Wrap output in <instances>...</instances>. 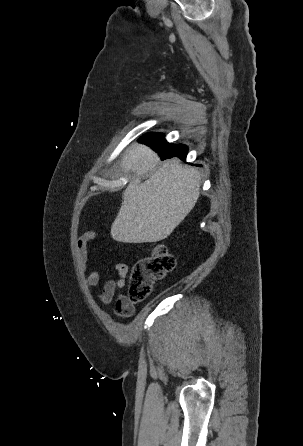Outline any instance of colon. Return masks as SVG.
Segmentation results:
<instances>
[{
	"label": "colon",
	"instance_id": "colon-1",
	"mask_svg": "<svg viewBox=\"0 0 303 446\" xmlns=\"http://www.w3.org/2000/svg\"><path fill=\"white\" fill-rule=\"evenodd\" d=\"M175 268V258L167 247L157 244L149 256L136 261L128 276L127 302H143L152 292L155 282L162 280Z\"/></svg>",
	"mask_w": 303,
	"mask_h": 446
}]
</instances>
